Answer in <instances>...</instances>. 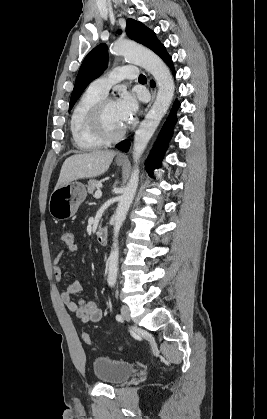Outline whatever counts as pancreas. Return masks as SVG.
Returning a JSON list of instances; mask_svg holds the SVG:
<instances>
[{
  "label": "pancreas",
  "mask_w": 267,
  "mask_h": 419,
  "mask_svg": "<svg viewBox=\"0 0 267 419\" xmlns=\"http://www.w3.org/2000/svg\"><path fill=\"white\" fill-rule=\"evenodd\" d=\"M100 184L96 179H91L88 181L87 189L89 194H93L95 188Z\"/></svg>",
  "instance_id": "obj_1"
}]
</instances>
